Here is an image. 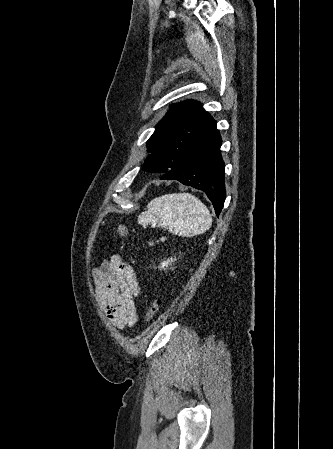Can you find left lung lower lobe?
Segmentation results:
<instances>
[{
	"label": "left lung lower lobe",
	"instance_id": "1",
	"mask_svg": "<svg viewBox=\"0 0 333 449\" xmlns=\"http://www.w3.org/2000/svg\"><path fill=\"white\" fill-rule=\"evenodd\" d=\"M222 144L216 121L209 116L193 143L184 162L176 169L162 175L161 179L178 180L184 185L202 190L211 200L216 215L219 216L226 198L224 167L220 147ZM155 160L147 158L146 171H152Z\"/></svg>",
	"mask_w": 333,
	"mask_h": 449
}]
</instances>
